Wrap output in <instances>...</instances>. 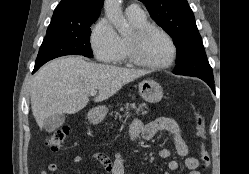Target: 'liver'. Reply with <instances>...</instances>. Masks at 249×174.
<instances>
[{
  "instance_id": "1",
  "label": "liver",
  "mask_w": 249,
  "mask_h": 174,
  "mask_svg": "<svg viewBox=\"0 0 249 174\" xmlns=\"http://www.w3.org/2000/svg\"><path fill=\"white\" fill-rule=\"evenodd\" d=\"M148 74L147 71L88 62L79 56L62 57L47 63L34 75L30 88L31 108L41 128L54 114H74L98 90L95 102L116 94L124 85Z\"/></svg>"
}]
</instances>
